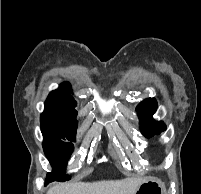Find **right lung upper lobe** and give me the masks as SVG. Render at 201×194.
<instances>
[{
	"mask_svg": "<svg viewBox=\"0 0 201 194\" xmlns=\"http://www.w3.org/2000/svg\"><path fill=\"white\" fill-rule=\"evenodd\" d=\"M70 93H72L70 84L68 82L61 84L58 90H54L49 94L45 101V108H58L68 116L75 118L77 115L76 102Z\"/></svg>",
	"mask_w": 201,
	"mask_h": 194,
	"instance_id": "1",
	"label": "right lung upper lobe"
}]
</instances>
